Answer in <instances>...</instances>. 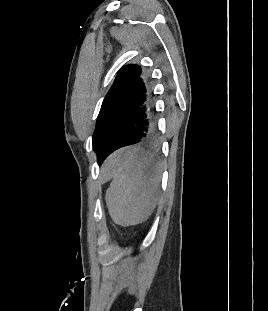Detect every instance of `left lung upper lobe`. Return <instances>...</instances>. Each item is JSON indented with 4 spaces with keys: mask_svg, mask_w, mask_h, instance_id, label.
Returning a JSON list of instances; mask_svg holds the SVG:
<instances>
[{
    "mask_svg": "<svg viewBox=\"0 0 268 311\" xmlns=\"http://www.w3.org/2000/svg\"><path fill=\"white\" fill-rule=\"evenodd\" d=\"M142 71L138 64L123 66L118 71L113 85L103 100L92 138L93 150L96 152L98 164L102 162L113 134L124 122L120 123L123 120L120 115L125 106L128 105L132 88Z\"/></svg>",
    "mask_w": 268,
    "mask_h": 311,
    "instance_id": "obj_1",
    "label": "left lung upper lobe"
}]
</instances>
